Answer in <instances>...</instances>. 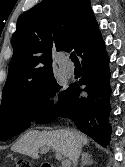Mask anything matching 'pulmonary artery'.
<instances>
[{
	"label": "pulmonary artery",
	"mask_w": 125,
	"mask_h": 167,
	"mask_svg": "<svg viewBox=\"0 0 125 167\" xmlns=\"http://www.w3.org/2000/svg\"><path fill=\"white\" fill-rule=\"evenodd\" d=\"M59 68L61 73L67 78L72 77L74 74V68L66 67L62 61H59Z\"/></svg>",
	"instance_id": "obj_1"
}]
</instances>
